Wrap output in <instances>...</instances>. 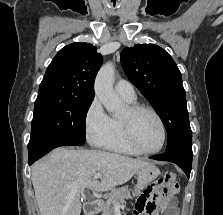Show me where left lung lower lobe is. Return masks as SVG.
<instances>
[{
    "label": "left lung lower lobe",
    "instance_id": "1",
    "mask_svg": "<svg viewBox=\"0 0 223 215\" xmlns=\"http://www.w3.org/2000/svg\"><path fill=\"white\" fill-rule=\"evenodd\" d=\"M150 158L155 160L173 162L182 168L188 178L190 176L193 154L166 152L164 154L152 156Z\"/></svg>",
    "mask_w": 223,
    "mask_h": 215
}]
</instances>
